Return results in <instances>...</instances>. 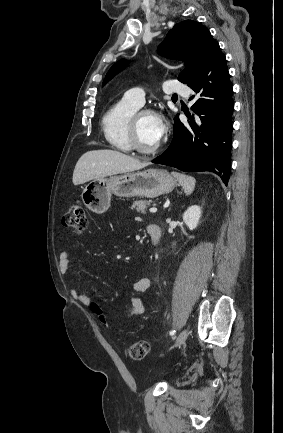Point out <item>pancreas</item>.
<instances>
[{"label": "pancreas", "mask_w": 283, "mask_h": 433, "mask_svg": "<svg viewBox=\"0 0 283 433\" xmlns=\"http://www.w3.org/2000/svg\"><path fill=\"white\" fill-rule=\"evenodd\" d=\"M151 202L152 200H134L131 208H135L138 212H146V208H148Z\"/></svg>", "instance_id": "1"}]
</instances>
